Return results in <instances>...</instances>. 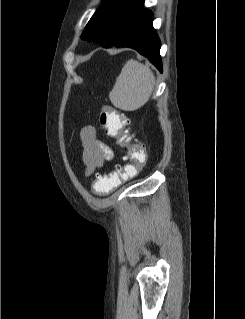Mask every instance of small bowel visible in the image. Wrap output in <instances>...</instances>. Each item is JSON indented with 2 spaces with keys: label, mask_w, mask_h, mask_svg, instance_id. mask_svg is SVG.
<instances>
[{
  "label": "small bowel",
  "mask_w": 245,
  "mask_h": 319,
  "mask_svg": "<svg viewBox=\"0 0 245 319\" xmlns=\"http://www.w3.org/2000/svg\"><path fill=\"white\" fill-rule=\"evenodd\" d=\"M83 145L82 158L86 166V174H92L113 157L112 149L98 137L94 126H86L81 131Z\"/></svg>",
  "instance_id": "c3829d8e"
}]
</instances>
